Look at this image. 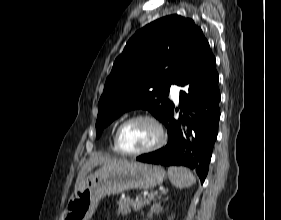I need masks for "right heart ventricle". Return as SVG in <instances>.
Returning <instances> with one entry per match:
<instances>
[{
    "mask_svg": "<svg viewBox=\"0 0 281 220\" xmlns=\"http://www.w3.org/2000/svg\"><path fill=\"white\" fill-rule=\"evenodd\" d=\"M113 151L117 154H119V152L116 150L115 145H114V141H113V147H112Z\"/></svg>",
    "mask_w": 281,
    "mask_h": 220,
    "instance_id": "e07e8e85",
    "label": "right heart ventricle"
}]
</instances>
